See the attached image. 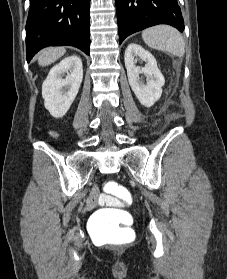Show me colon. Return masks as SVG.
<instances>
[{
  "label": "colon",
  "mask_w": 227,
  "mask_h": 279,
  "mask_svg": "<svg viewBox=\"0 0 227 279\" xmlns=\"http://www.w3.org/2000/svg\"><path fill=\"white\" fill-rule=\"evenodd\" d=\"M107 196H128L129 191L116 181H107L103 184ZM129 218L124 209H100L95 212L90 223V231L94 238L103 240L108 237L130 238L132 229L125 223Z\"/></svg>",
  "instance_id": "obj_1"
}]
</instances>
